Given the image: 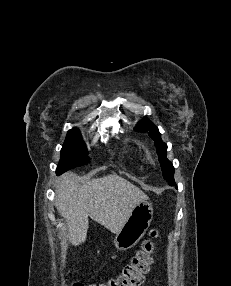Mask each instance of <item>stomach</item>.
<instances>
[{
	"mask_svg": "<svg viewBox=\"0 0 231 286\" xmlns=\"http://www.w3.org/2000/svg\"><path fill=\"white\" fill-rule=\"evenodd\" d=\"M153 219L151 203L144 201L135 206L124 225L116 233L114 246L117 250L134 247L145 235Z\"/></svg>",
	"mask_w": 231,
	"mask_h": 286,
	"instance_id": "obj_1",
	"label": "stomach"
}]
</instances>
